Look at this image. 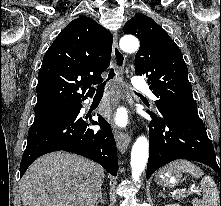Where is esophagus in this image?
I'll list each match as a JSON object with an SVG mask.
<instances>
[{
  "label": "esophagus",
  "instance_id": "34e87169",
  "mask_svg": "<svg viewBox=\"0 0 221 206\" xmlns=\"http://www.w3.org/2000/svg\"><path fill=\"white\" fill-rule=\"evenodd\" d=\"M113 56H114V66L118 77L123 73V68L125 64V55L120 50L118 46V36L117 33H113ZM111 91L115 98L116 103H120L122 100L121 95V85L118 79H114L111 83ZM114 136L117 142L118 149L121 153H125L129 143L130 135L127 132L121 131L119 129H114Z\"/></svg>",
  "mask_w": 221,
  "mask_h": 206
}]
</instances>
